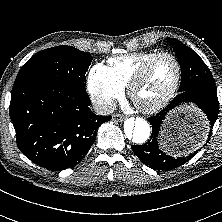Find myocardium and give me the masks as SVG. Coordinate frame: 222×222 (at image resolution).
Listing matches in <instances>:
<instances>
[{
	"mask_svg": "<svg viewBox=\"0 0 222 222\" xmlns=\"http://www.w3.org/2000/svg\"><path fill=\"white\" fill-rule=\"evenodd\" d=\"M163 57H168V58L172 59L176 65V77H175L174 83H173L172 87L169 89V91L156 103L151 104V105H147V106L139 105L135 101L136 89L141 84V82L144 80V78H145L148 70L152 66V64L155 61H157L158 59L163 58ZM181 77H182V66H181V63L178 60V58L170 52L157 53L152 58H150L148 61H146L134 74V76L132 77V79L128 85V95L140 111H142L144 113L157 112L160 109H162L163 107H165L172 100V98L175 96V94L179 88L180 82H181Z\"/></svg>",
	"mask_w": 222,
	"mask_h": 222,
	"instance_id": "obj_1",
	"label": "myocardium"
}]
</instances>
